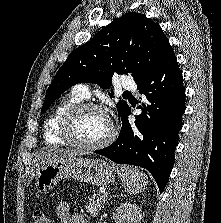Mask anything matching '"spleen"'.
I'll return each mask as SVG.
<instances>
[{
    "instance_id": "1",
    "label": "spleen",
    "mask_w": 221,
    "mask_h": 223,
    "mask_svg": "<svg viewBox=\"0 0 221 223\" xmlns=\"http://www.w3.org/2000/svg\"><path fill=\"white\" fill-rule=\"evenodd\" d=\"M127 193L135 194L144 190L147 185V176L133 166H115Z\"/></svg>"
}]
</instances>
